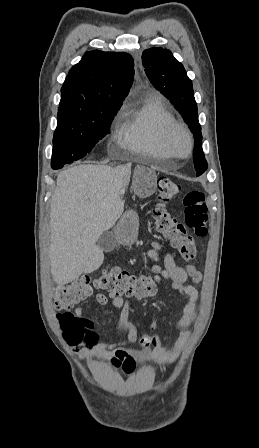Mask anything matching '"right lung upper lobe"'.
<instances>
[{"label":"right lung upper lobe","instance_id":"1","mask_svg":"<svg viewBox=\"0 0 259 448\" xmlns=\"http://www.w3.org/2000/svg\"><path fill=\"white\" fill-rule=\"evenodd\" d=\"M134 78L133 58L124 52H86L61 88L58 114L120 108Z\"/></svg>","mask_w":259,"mask_h":448}]
</instances>
